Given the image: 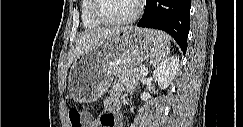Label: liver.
Listing matches in <instances>:
<instances>
[{
    "label": "liver",
    "instance_id": "1",
    "mask_svg": "<svg viewBox=\"0 0 243 127\" xmlns=\"http://www.w3.org/2000/svg\"><path fill=\"white\" fill-rule=\"evenodd\" d=\"M124 28L96 29L79 34L75 48L68 54L67 67L80 55L86 54L97 46L103 39L108 38Z\"/></svg>",
    "mask_w": 243,
    "mask_h": 127
}]
</instances>
